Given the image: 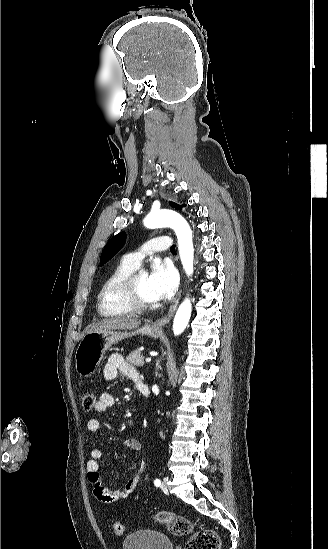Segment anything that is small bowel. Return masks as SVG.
I'll use <instances>...</instances> for the list:
<instances>
[{
    "label": "small bowel",
    "mask_w": 328,
    "mask_h": 549,
    "mask_svg": "<svg viewBox=\"0 0 328 549\" xmlns=\"http://www.w3.org/2000/svg\"><path fill=\"white\" fill-rule=\"evenodd\" d=\"M123 375L130 379L138 377V373L134 366L128 363L125 358L119 353L111 354L103 368V377L107 381L115 380L119 375ZM114 396L109 392H103L95 404V411L104 413L114 405ZM87 429L90 432H97L100 429V422L96 418H91L87 421ZM122 444L131 451L143 454L144 445L138 437H128L122 441ZM102 457V451L99 448H93L90 452V459L87 462L88 478L94 488V494L98 500L103 503H114L118 500L128 498L139 485L142 473L145 467V460L142 458L137 469L127 480L123 488H109L101 479L99 471V460Z\"/></svg>",
    "instance_id": "obj_1"
}]
</instances>
